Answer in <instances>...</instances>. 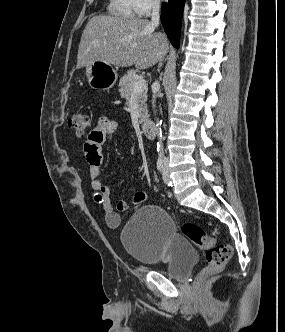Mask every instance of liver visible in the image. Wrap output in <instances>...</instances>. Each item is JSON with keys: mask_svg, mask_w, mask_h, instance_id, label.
<instances>
[{"mask_svg": "<svg viewBox=\"0 0 285 332\" xmlns=\"http://www.w3.org/2000/svg\"><path fill=\"white\" fill-rule=\"evenodd\" d=\"M147 19L99 15L87 23L80 40L77 68L101 61L138 69L153 66L166 50V40Z\"/></svg>", "mask_w": 285, "mask_h": 332, "instance_id": "1", "label": "liver"}]
</instances>
